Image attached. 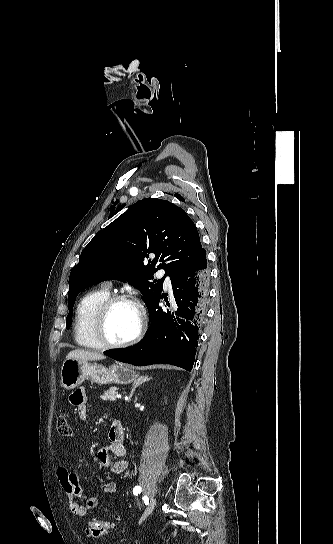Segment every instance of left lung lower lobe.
Wrapping results in <instances>:
<instances>
[{
    "instance_id": "0a47b994",
    "label": "left lung lower lobe",
    "mask_w": 333,
    "mask_h": 544,
    "mask_svg": "<svg viewBox=\"0 0 333 544\" xmlns=\"http://www.w3.org/2000/svg\"><path fill=\"white\" fill-rule=\"evenodd\" d=\"M209 278L206 253L201 248L171 278L174 295L172 304L160 295L149 305L151 325L146 336L132 347L111 349L104 354L137 366L167 363L190 371L205 314ZM161 298L165 299L167 308L159 307Z\"/></svg>"
}]
</instances>
